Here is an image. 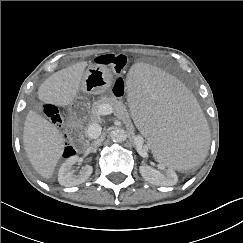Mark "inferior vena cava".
I'll list each match as a JSON object with an SVG mask.
<instances>
[{"label": "inferior vena cava", "mask_w": 243, "mask_h": 243, "mask_svg": "<svg viewBox=\"0 0 243 243\" xmlns=\"http://www.w3.org/2000/svg\"><path fill=\"white\" fill-rule=\"evenodd\" d=\"M100 135V134H99ZM98 135V136H99ZM98 136L94 137V138H98ZM102 139H96L92 142V147H96L101 143Z\"/></svg>", "instance_id": "obj_1"}]
</instances>
